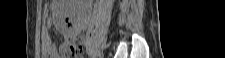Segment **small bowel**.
<instances>
[{"label": "small bowel", "mask_w": 225, "mask_h": 58, "mask_svg": "<svg viewBox=\"0 0 225 58\" xmlns=\"http://www.w3.org/2000/svg\"><path fill=\"white\" fill-rule=\"evenodd\" d=\"M52 24H53V19L47 18V20H46V27H45L46 39H45V41L43 42V45H42V51L49 58L57 57L56 54L58 52L57 47H56L55 43L52 41L51 36L49 35V32H48V29L52 26ZM76 34L77 33L74 30L68 31L65 34L64 42L62 43V45L59 48L60 53H62V49L65 46H67L69 44L77 43Z\"/></svg>", "instance_id": "obj_1"}]
</instances>
